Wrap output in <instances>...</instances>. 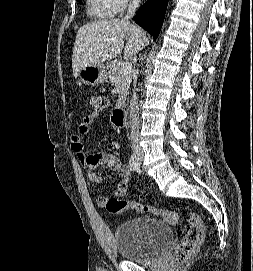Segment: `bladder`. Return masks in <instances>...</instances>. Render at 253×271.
Returning <instances> with one entry per match:
<instances>
[{"mask_svg": "<svg viewBox=\"0 0 253 271\" xmlns=\"http://www.w3.org/2000/svg\"><path fill=\"white\" fill-rule=\"evenodd\" d=\"M173 239L171 227L155 218H133L119 225L115 242L119 255L137 263L153 262Z\"/></svg>", "mask_w": 253, "mask_h": 271, "instance_id": "obj_1", "label": "bladder"}]
</instances>
